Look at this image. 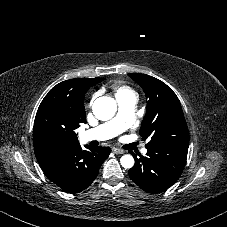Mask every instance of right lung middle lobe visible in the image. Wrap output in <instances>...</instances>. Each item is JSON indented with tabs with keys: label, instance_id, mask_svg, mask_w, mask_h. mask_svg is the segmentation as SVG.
Returning <instances> with one entry per match:
<instances>
[{
	"label": "right lung middle lobe",
	"instance_id": "right-lung-middle-lobe-1",
	"mask_svg": "<svg viewBox=\"0 0 227 227\" xmlns=\"http://www.w3.org/2000/svg\"><path fill=\"white\" fill-rule=\"evenodd\" d=\"M104 78H100V82ZM81 122L66 112H46L35 117L34 146L42 152L63 150L78 144L75 129Z\"/></svg>",
	"mask_w": 227,
	"mask_h": 227
}]
</instances>
